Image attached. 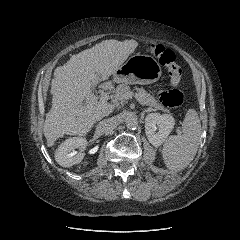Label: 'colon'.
Segmentation results:
<instances>
[{"label":"colon","instance_id":"obj_1","mask_svg":"<svg viewBox=\"0 0 240 240\" xmlns=\"http://www.w3.org/2000/svg\"><path fill=\"white\" fill-rule=\"evenodd\" d=\"M149 51L158 58L161 65L167 68L171 79V87L159 94L160 101L167 107L181 106L185 101V94L176 88L180 82L182 70L175 62V53L162 45L156 44L150 45Z\"/></svg>","mask_w":240,"mask_h":240}]
</instances>
